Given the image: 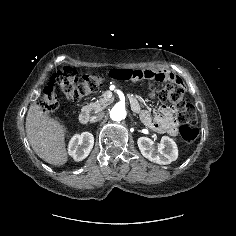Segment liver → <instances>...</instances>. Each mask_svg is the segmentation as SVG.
I'll list each match as a JSON object with an SVG mask.
<instances>
[{
  "label": "liver",
  "instance_id": "6515ba94",
  "mask_svg": "<svg viewBox=\"0 0 236 236\" xmlns=\"http://www.w3.org/2000/svg\"><path fill=\"white\" fill-rule=\"evenodd\" d=\"M25 126L28 141L41 159L56 166L67 162L66 128L59 121L45 115L36 102L29 107Z\"/></svg>",
  "mask_w": 236,
  "mask_h": 236
}]
</instances>
